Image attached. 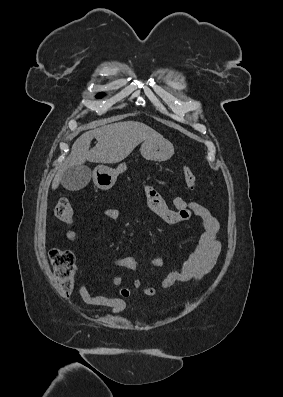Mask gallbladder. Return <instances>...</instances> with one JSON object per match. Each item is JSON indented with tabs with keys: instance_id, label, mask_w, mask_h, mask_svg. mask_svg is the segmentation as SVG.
Instances as JSON below:
<instances>
[{
	"instance_id": "obj_1",
	"label": "gallbladder",
	"mask_w": 283,
	"mask_h": 397,
	"mask_svg": "<svg viewBox=\"0 0 283 397\" xmlns=\"http://www.w3.org/2000/svg\"><path fill=\"white\" fill-rule=\"evenodd\" d=\"M91 179V170L84 165L69 167L61 177V184L69 191L84 188Z\"/></svg>"
}]
</instances>
